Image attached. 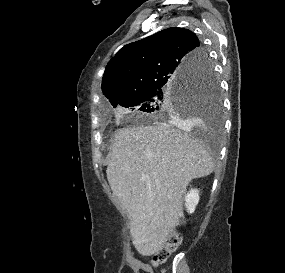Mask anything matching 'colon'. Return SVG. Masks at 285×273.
Segmentation results:
<instances>
[{"instance_id": "1", "label": "colon", "mask_w": 285, "mask_h": 273, "mask_svg": "<svg viewBox=\"0 0 285 273\" xmlns=\"http://www.w3.org/2000/svg\"><path fill=\"white\" fill-rule=\"evenodd\" d=\"M179 243L180 237L177 234L170 235L160 250L153 256V264L155 266L164 264L170 254L177 249Z\"/></svg>"}]
</instances>
